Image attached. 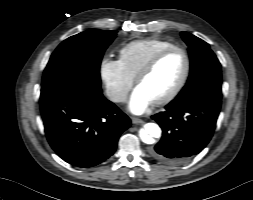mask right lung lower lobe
Wrapping results in <instances>:
<instances>
[{"instance_id":"98d812e1","label":"right lung lower lobe","mask_w":253,"mask_h":200,"mask_svg":"<svg viewBox=\"0 0 253 200\" xmlns=\"http://www.w3.org/2000/svg\"><path fill=\"white\" fill-rule=\"evenodd\" d=\"M40 106L47 140L66 162L92 167L109 158L130 119L108 101L101 88L69 82L41 88Z\"/></svg>"}]
</instances>
